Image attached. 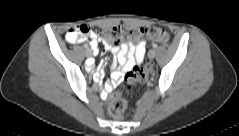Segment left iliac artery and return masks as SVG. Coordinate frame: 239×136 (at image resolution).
<instances>
[{"label":"left iliac artery","instance_id":"left-iliac-artery-1","mask_svg":"<svg viewBox=\"0 0 239 136\" xmlns=\"http://www.w3.org/2000/svg\"><path fill=\"white\" fill-rule=\"evenodd\" d=\"M153 47H154V48H157V44H153Z\"/></svg>","mask_w":239,"mask_h":136}]
</instances>
